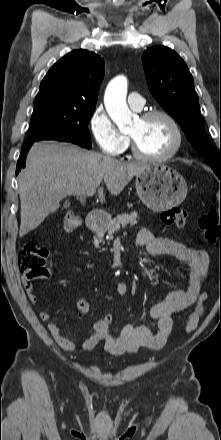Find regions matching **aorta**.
<instances>
[{"mask_svg": "<svg viewBox=\"0 0 221 440\" xmlns=\"http://www.w3.org/2000/svg\"><path fill=\"white\" fill-rule=\"evenodd\" d=\"M126 95L127 79L124 76H117L112 79L104 95L107 113L119 129H124L131 124L133 119V114L126 102Z\"/></svg>", "mask_w": 221, "mask_h": 440, "instance_id": "1", "label": "aorta"}]
</instances>
